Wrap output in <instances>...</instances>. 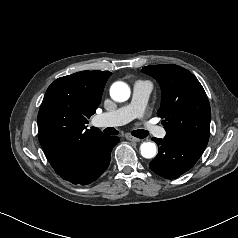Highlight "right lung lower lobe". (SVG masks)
<instances>
[{
  "instance_id": "1",
  "label": "right lung lower lobe",
  "mask_w": 238,
  "mask_h": 238,
  "mask_svg": "<svg viewBox=\"0 0 238 238\" xmlns=\"http://www.w3.org/2000/svg\"><path fill=\"white\" fill-rule=\"evenodd\" d=\"M118 142L117 136L96 133L79 140L67 155L50 163L62 179L87 185L108 168L112 148Z\"/></svg>"
}]
</instances>
